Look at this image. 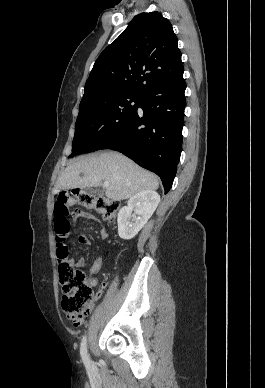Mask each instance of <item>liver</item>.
<instances>
[{
	"label": "liver",
	"mask_w": 265,
	"mask_h": 388,
	"mask_svg": "<svg viewBox=\"0 0 265 388\" xmlns=\"http://www.w3.org/2000/svg\"><path fill=\"white\" fill-rule=\"evenodd\" d=\"M102 180L109 182L105 196L116 202L132 198L142 190H158L157 176L146 172L118 152H106L92 158H75L59 176L55 190L97 188Z\"/></svg>",
	"instance_id": "liver-1"
}]
</instances>
